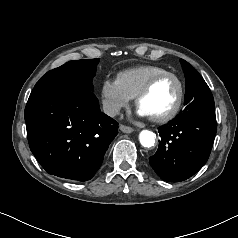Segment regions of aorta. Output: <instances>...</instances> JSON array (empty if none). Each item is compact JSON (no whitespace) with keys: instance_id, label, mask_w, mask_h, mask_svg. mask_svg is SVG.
<instances>
[{"instance_id":"762f6f07","label":"aorta","mask_w":238,"mask_h":238,"mask_svg":"<svg viewBox=\"0 0 238 238\" xmlns=\"http://www.w3.org/2000/svg\"><path fill=\"white\" fill-rule=\"evenodd\" d=\"M156 135L152 131L142 130L139 134V141L143 147L150 148L155 145Z\"/></svg>"}]
</instances>
